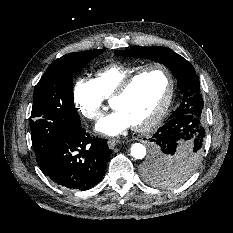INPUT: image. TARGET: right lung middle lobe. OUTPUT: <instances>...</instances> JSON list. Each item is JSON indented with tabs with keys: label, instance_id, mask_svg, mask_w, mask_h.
Here are the masks:
<instances>
[{
	"label": "right lung middle lobe",
	"instance_id": "1",
	"mask_svg": "<svg viewBox=\"0 0 233 233\" xmlns=\"http://www.w3.org/2000/svg\"><path fill=\"white\" fill-rule=\"evenodd\" d=\"M102 52L88 50L64 55L48 67L36 86L30 128L39 166L64 132L80 126V117L74 106L73 72L80 71Z\"/></svg>",
	"mask_w": 233,
	"mask_h": 233
}]
</instances>
